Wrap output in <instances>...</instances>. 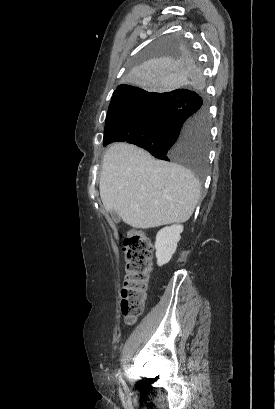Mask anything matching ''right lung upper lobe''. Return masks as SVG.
Listing matches in <instances>:
<instances>
[{
    "label": "right lung upper lobe",
    "mask_w": 275,
    "mask_h": 409,
    "mask_svg": "<svg viewBox=\"0 0 275 409\" xmlns=\"http://www.w3.org/2000/svg\"><path fill=\"white\" fill-rule=\"evenodd\" d=\"M146 90H135L134 86L132 85H119L115 92L113 93L111 103L109 106V109L113 108L116 104L121 102L122 100L137 94V93H142L145 92Z\"/></svg>",
    "instance_id": "cb5924a9"
}]
</instances>
